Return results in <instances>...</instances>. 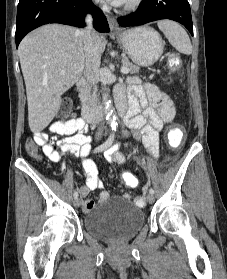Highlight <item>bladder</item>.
<instances>
[{"label": "bladder", "mask_w": 227, "mask_h": 279, "mask_svg": "<svg viewBox=\"0 0 227 279\" xmlns=\"http://www.w3.org/2000/svg\"><path fill=\"white\" fill-rule=\"evenodd\" d=\"M144 223L143 210L121 197L99 203L84 219L86 232L101 240L127 239L134 236Z\"/></svg>", "instance_id": "bladder-1"}]
</instances>
